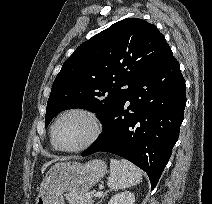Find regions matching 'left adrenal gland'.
Masks as SVG:
<instances>
[{"label":"left adrenal gland","mask_w":212,"mask_h":204,"mask_svg":"<svg viewBox=\"0 0 212 204\" xmlns=\"http://www.w3.org/2000/svg\"><path fill=\"white\" fill-rule=\"evenodd\" d=\"M106 195H107V192H105V193L102 195L100 201H98L97 204H100Z\"/></svg>","instance_id":"left-adrenal-gland-1"}]
</instances>
